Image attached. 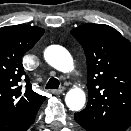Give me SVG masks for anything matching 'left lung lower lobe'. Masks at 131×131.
I'll return each mask as SVG.
<instances>
[{
    "label": "left lung lower lobe",
    "mask_w": 131,
    "mask_h": 131,
    "mask_svg": "<svg viewBox=\"0 0 131 131\" xmlns=\"http://www.w3.org/2000/svg\"><path fill=\"white\" fill-rule=\"evenodd\" d=\"M74 118L76 120V122L81 125L84 129H86L87 131H96L92 128H90L89 126L86 125V123L84 122V120L81 118V116L79 115V113H75Z\"/></svg>",
    "instance_id": "1"
}]
</instances>
